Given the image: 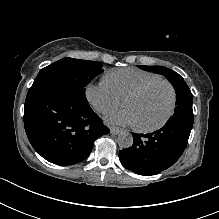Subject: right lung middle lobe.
<instances>
[{
    "label": "right lung middle lobe",
    "instance_id": "1",
    "mask_svg": "<svg viewBox=\"0 0 219 219\" xmlns=\"http://www.w3.org/2000/svg\"><path fill=\"white\" fill-rule=\"evenodd\" d=\"M102 72V64L98 62L63 58L41 69L30 89L40 86L54 87L87 101L85 87Z\"/></svg>",
    "mask_w": 219,
    "mask_h": 219
}]
</instances>
